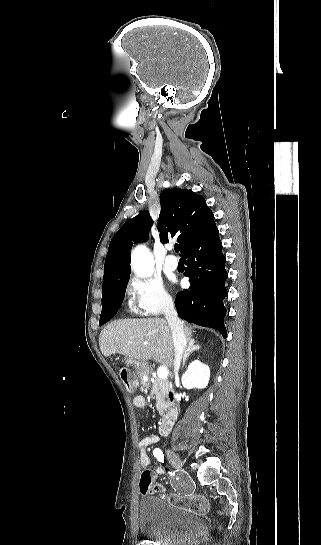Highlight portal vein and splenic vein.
<instances>
[{"mask_svg": "<svg viewBox=\"0 0 321 545\" xmlns=\"http://www.w3.org/2000/svg\"><path fill=\"white\" fill-rule=\"evenodd\" d=\"M144 345H147V343H144ZM168 369L165 367V365H161L157 371L158 379H167L168 377Z\"/></svg>", "mask_w": 321, "mask_h": 545, "instance_id": "1", "label": "portal vein and splenic vein"}]
</instances>
